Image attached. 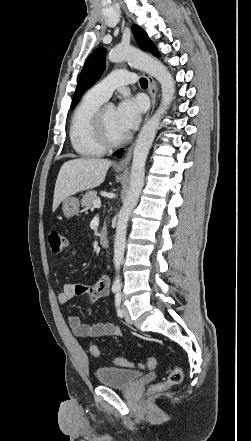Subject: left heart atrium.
<instances>
[{
    "label": "left heart atrium",
    "instance_id": "left-heart-atrium-1",
    "mask_svg": "<svg viewBox=\"0 0 251 441\" xmlns=\"http://www.w3.org/2000/svg\"><path fill=\"white\" fill-rule=\"evenodd\" d=\"M143 112V104L136 99L124 98L116 109V120L120 129L127 133L137 127Z\"/></svg>",
    "mask_w": 251,
    "mask_h": 441
}]
</instances>
